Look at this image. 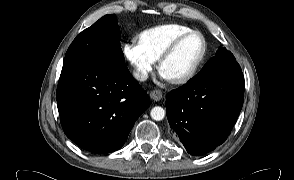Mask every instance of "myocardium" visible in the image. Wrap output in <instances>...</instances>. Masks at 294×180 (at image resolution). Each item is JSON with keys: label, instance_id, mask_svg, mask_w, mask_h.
<instances>
[{"label": "myocardium", "instance_id": "1", "mask_svg": "<svg viewBox=\"0 0 294 180\" xmlns=\"http://www.w3.org/2000/svg\"><path fill=\"white\" fill-rule=\"evenodd\" d=\"M193 35H198L202 40V52L195 62V64L192 66V68L182 77L177 79H172L170 82L175 85H183L191 81L195 75L197 74L198 70L200 69L201 65L203 64L208 50L207 40L205 35L198 31V30H191L189 32H186L179 37H177L161 54L159 58V69L161 70L163 64L173 55V53L176 51V49L180 46L182 42H184L187 38Z\"/></svg>", "mask_w": 294, "mask_h": 180}]
</instances>
